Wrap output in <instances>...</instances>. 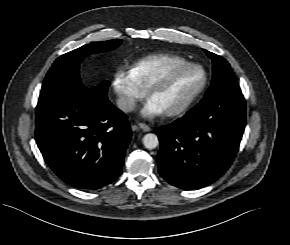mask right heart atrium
Wrapping results in <instances>:
<instances>
[{
  "instance_id": "right-heart-atrium-1",
  "label": "right heart atrium",
  "mask_w": 290,
  "mask_h": 245,
  "mask_svg": "<svg viewBox=\"0 0 290 245\" xmlns=\"http://www.w3.org/2000/svg\"><path fill=\"white\" fill-rule=\"evenodd\" d=\"M118 107L124 112H131L145 96L146 90L136 82L131 70L119 68L112 80Z\"/></svg>"
}]
</instances>
